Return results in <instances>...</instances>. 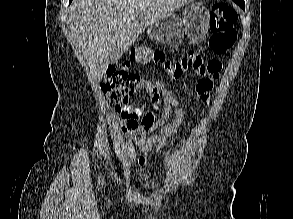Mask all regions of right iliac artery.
Here are the masks:
<instances>
[{
    "label": "right iliac artery",
    "instance_id": "82829eb1",
    "mask_svg": "<svg viewBox=\"0 0 293 219\" xmlns=\"http://www.w3.org/2000/svg\"><path fill=\"white\" fill-rule=\"evenodd\" d=\"M102 185H103V179H102V177L100 176V177H99V188H101Z\"/></svg>",
    "mask_w": 293,
    "mask_h": 219
}]
</instances>
